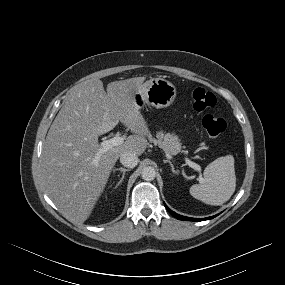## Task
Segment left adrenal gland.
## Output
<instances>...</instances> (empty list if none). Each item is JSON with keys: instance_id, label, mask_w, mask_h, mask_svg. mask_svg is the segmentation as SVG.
Wrapping results in <instances>:
<instances>
[{"instance_id": "1", "label": "left adrenal gland", "mask_w": 285, "mask_h": 285, "mask_svg": "<svg viewBox=\"0 0 285 285\" xmlns=\"http://www.w3.org/2000/svg\"><path fill=\"white\" fill-rule=\"evenodd\" d=\"M164 162H166V163H169V164H170V166H171V170H172V172H173V173H177V171L175 170V168H174V166H173V164H172V162H171L170 160H164Z\"/></svg>"}]
</instances>
